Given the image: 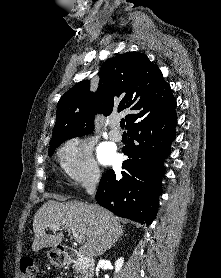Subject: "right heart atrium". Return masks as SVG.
Masks as SVG:
<instances>
[{
    "instance_id": "d8ad5b80",
    "label": "right heart atrium",
    "mask_w": 221,
    "mask_h": 278,
    "mask_svg": "<svg viewBox=\"0 0 221 278\" xmlns=\"http://www.w3.org/2000/svg\"><path fill=\"white\" fill-rule=\"evenodd\" d=\"M58 158L65 174L75 183L86 185L99 180L100 170L88 138L71 137L59 148Z\"/></svg>"
}]
</instances>
